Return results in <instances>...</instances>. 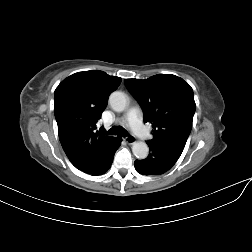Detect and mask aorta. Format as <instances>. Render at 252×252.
I'll use <instances>...</instances> for the list:
<instances>
[{
    "label": "aorta",
    "mask_w": 252,
    "mask_h": 252,
    "mask_svg": "<svg viewBox=\"0 0 252 252\" xmlns=\"http://www.w3.org/2000/svg\"><path fill=\"white\" fill-rule=\"evenodd\" d=\"M127 96L123 92L115 91L109 97V104L116 112H122L127 106ZM132 152L138 159H145L148 156L149 148L143 141L134 142Z\"/></svg>",
    "instance_id": "1"
}]
</instances>
